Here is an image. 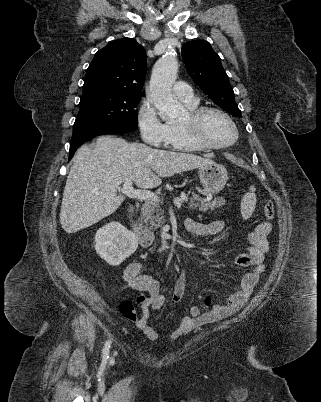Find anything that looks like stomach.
Returning <instances> with one entry per match:
<instances>
[{
  "label": "stomach",
  "mask_w": 321,
  "mask_h": 402,
  "mask_svg": "<svg viewBox=\"0 0 321 402\" xmlns=\"http://www.w3.org/2000/svg\"><path fill=\"white\" fill-rule=\"evenodd\" d=\"M198 173L204 191L211 194L220 192L228 180L226 168L216 163L200 167Z\"/></svg>",
  "instance_id": "0dacf381"
}]
</instances>
